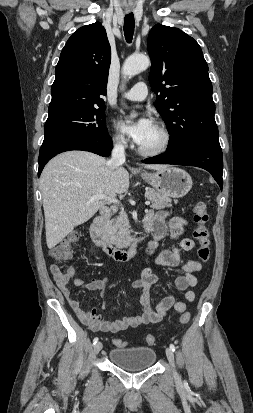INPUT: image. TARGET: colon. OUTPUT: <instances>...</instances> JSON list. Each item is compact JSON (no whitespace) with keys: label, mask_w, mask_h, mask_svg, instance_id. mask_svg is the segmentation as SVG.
Instances as JSON below:
<instances>
[{"label":"colon","mask_w":253,"mask_h":413,"mask_svg":"<svg viewBox=\"0 0 253 413\" xmlns=\"http://www.w3.org/2000/svg\"><path fill=\"white\" fill-rule=\"evenodd\" d=\"M194 222L196 223V229L194 231V238L199 244L197 255L202 262H208L210 259V234L207 227L209 222V214L207 206L204 201H198L193 209ZM79 235L77 233H71L57 245L50 250V255L58 261H66L71 257L72 245L78 240ZM190 320V314L188 312L183 313L180 316L179 323L185 325ZM146 342L149 345L155 343V336L152 334L147 335ZM115 343L119 346L126 345L122 340H115Z\"/></svg>","instance_id":"5ec220e1"}]
</instances>
